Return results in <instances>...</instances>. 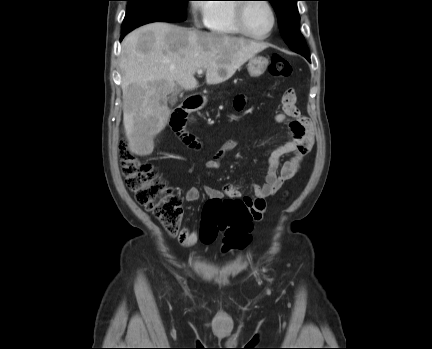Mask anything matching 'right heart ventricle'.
Returning <instances> with one entry per match:
<instances>
[{
  "mask_svg": "<svg viewBox=\"0 0 432 349\" xmlns=\"http://www.w3.org/2000/svg\"><path fill=\"white\" fill-rule=\"evenodd\" d=\"M224 1L234 0H213L208 3L204 24L213 34L227 37L240 36L242 33L238 30L234 21L236 4Z\"/></svg>",
  "mask_w": 432,
  "mask_h": 349,
  "instance_id": "e07e8e85",
  "label": "right heart ventricle"
}]
</instances>
